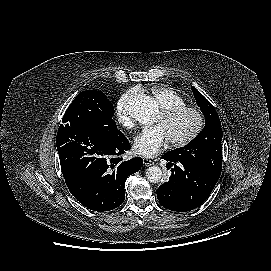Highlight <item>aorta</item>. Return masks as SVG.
Segmentation results:
<instances>
[{
	"instance_id": "1",
	"label": "aorta",
	"mask_w": 271,
	"mask_h": 271,
	"mask_svg": "<svg viewBox=\"0 0 271 271\" xmlns=\"http://www.w3.org/2000/svg\"><path fill=\"white\" fill-rule=\"evenodd\" d=\"M158 112L156 101L147 96L138 97L132 104L131 114L133 118L144 124H152ZM146 177L151 183H158L162 178V170L158 166H151L146 170Z\"/></svg>"
}]
</instances>
